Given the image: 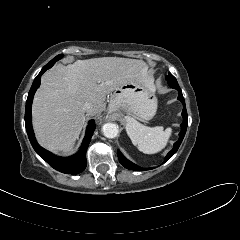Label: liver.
<instances>
[{
	"mask_svg": "<svg viewBox=\"0 0 240 240\" xmlns=\"http://www.w3.org/2000/svg\"><path fill=\"white\" fill-rule=\"evenodd\" d=\"M134 80L153 85L154 79L142 60L102 57L77 60L67 66L57 64L48 70L32 105L39 144L52 152H70L85 121L84 104H90L87 114L94 116L107 94Z\"/></svg>",
	"mask_w": 240,
	"mask_h": 240,
	"instance_id": "liver-1",
	"label": "liver"
}]
</instances>
